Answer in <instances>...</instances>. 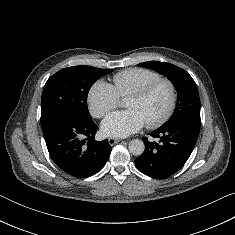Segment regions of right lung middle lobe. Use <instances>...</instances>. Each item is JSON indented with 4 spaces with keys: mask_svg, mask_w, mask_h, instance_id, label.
Listing matches in <instances>:
<instances>
[{
    "mask_svg": "<svg viewBox=\"0 0 235 235\" xmlns=\"http://www.w3.org/2000/svg\"><path fill=\"white\" fill-rule=\"evenodd\" d=\"M112 71L81 65L64 68L52 75L41 98L42 129L62 117L90 120L87 107L89 89L97 79Z\"/></svg>",
    "mask_w": 235,
    "mask_h": 235,
    "instance_id": "obj_1",
    "label": "right lung middle lobe"
}]
</instances>
